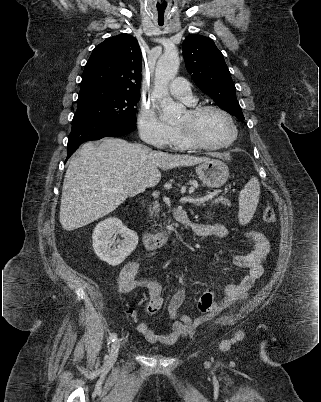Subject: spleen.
Masks as SVG:
<instances>
[{
	"label": "spleen",
	"instance_id": "3e777b00",
	"mask_svg": "<svg viewBox=\"0 0 321 402\" xmlns=\"http://www.w3.org/2000/svg\"><path fill=\"white\" fill-rule=\"evenodd\" d=\"M260 194V185L256 177H252L239 195L238 219L241 225L247 224L253 217Z\"/></svg>",
	"mask_w": 321,
	"mask_h": 402
}]
</instances>
